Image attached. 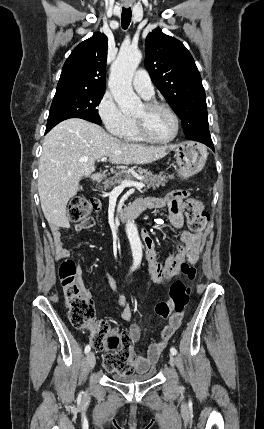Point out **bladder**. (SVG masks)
<instances>
[{
  "mask_svg": "<svg viewBox=\"0 0 264 429\" xmlns=\"http://www.w3.org/2000/svg\"><path fill=\"white\" fill-rule=\"evenodd\" d=\"M156 374V369L151 368L145 373H136L131 375H115L113 380L122 383V384H131V383H140L149 381L154 378Z\"/></svg>",
  "mask_w": 264,
  "mask_h": 429,
  "instance_id": "31cf9c89",
  "label": "bladder"
}]
</instances>
